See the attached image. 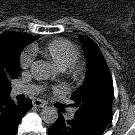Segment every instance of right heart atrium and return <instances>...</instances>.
Instances as JSON below:
<instances>
[{
	"label": "right heart atrium",
	"mask_w": 135,
	"mask_h": 135,
	"mask_svg": "<svg viewBox=\"0 0 135 135\" xmlns=\"http://www.w3.org/2000/svg\"><path fill=\"white\" fill-rule=\"evenodd\" d=\"M34 55L32 50H25L19 57V64L22 69L27 70L33 64Z\"/></svg>",
	"instance_id": "d8ad5b80"
}]
</instances>
